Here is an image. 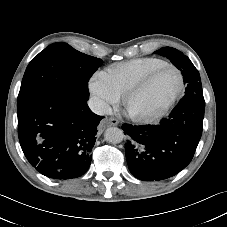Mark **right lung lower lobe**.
Masks as SVG:
<instances>
[{
  "instance_id": "98d812e1",
  "label": "right lung lower lobe",
  "mask_w": 227,
  "mask_h": 227,
  "mask_svg": "<svg viewBox=\"0 0 227 227\" xmlns=\"http://www.w3.org/2000/svg\"><path fill=\"white\" fill-rule=\"evenodd\" d=\"M17 113L21 148L38 172L71 179L88 170L103 116L94 114L86 99L45 93L19 106Z\"/></svg>"
}]
</instances>
